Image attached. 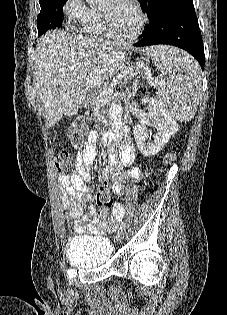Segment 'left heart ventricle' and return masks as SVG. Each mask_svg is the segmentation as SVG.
Here are the masks:
<instances>
[{
  "mask_svg": "<svg viewBox=\"0 0 227 315\" xmlns=\"http://www.w3.org/2000/svg\"><path fill=\"white\" fill-rule=\"evenodd\" d=\"M101 11L107 14L113 29L118 34L130 35L139 24L137 14L127 0H106Z\"/></svg>",
  "mask_w": 227,
  "mask_h": 315,
  "instance_id": "left-heart-ventricle-1",
  "label": "left heart ventricle"
}]
</instances>
